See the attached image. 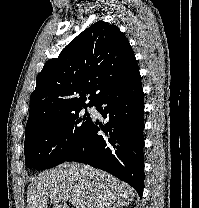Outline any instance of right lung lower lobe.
<instances>
[{
	"mask_svg": "<svg viewBox=\"0 0 199 208\" xmlns=\"http://www.w3.org/2000/svg\"><path fill=\"white\" fill-rule=\"evenodd\" d=\"M94 106L109 121L105 126L92 121L66 161H78L107 171L130 184L141 198L144 187V93L140 74L108 91ZM100 129L105 135H98Z\"/></svg>",
	"mask_w": 199,
	"mask_h": 208,
	"instance_id": "right-lung-lower-lobe-1",
	"label": "right lung lower lobe"
}]
</instances>
